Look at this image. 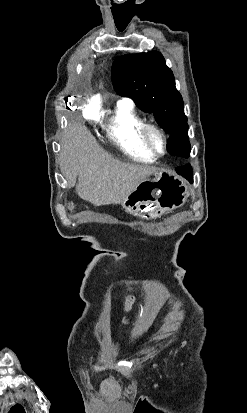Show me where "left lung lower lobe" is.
Listing matches in <instances>:
<instances>
[{
	"label": "left lung lower lobe",
	"instance_id": "left-lung-lower-lobe-1",
	"mask_svg": "<svg viewBox=\"0 0 247 413\" xmlns=\"http://www.w3.org/2000/svg\"><path fill=\"white\" fill-rule=\"evenodd\" d=\"M176 172L185 177L190 183L193 182V172L192 167L190 165L178 167L176 169Z\"/></svg>",
	"mask_w": 247,
	"mask_h": 413
}]
</instances>
